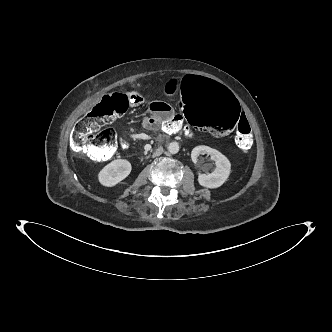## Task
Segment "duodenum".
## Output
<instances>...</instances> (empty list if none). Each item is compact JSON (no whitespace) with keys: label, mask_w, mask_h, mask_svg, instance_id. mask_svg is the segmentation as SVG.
Returning <instances> with one entry per match:
<instances>
[{"label":"duodenum","mask_w":332,"mask_h":332,"mask_svg":"<svg viewBox=\"0 0 332 332\" xmlns=\"http://www.w3.org/2000/svg\"><path fill=\"white\" fill-rule=\"evenodd\" d=\"M158 125V123H157ZM172 136H177V137H185L189 138L190 135L187 131L183 130L182 128H166L165 131L163 132V137L168 138Z\"/></svg>","instance_id":"410a0bca"}]
</instances>
